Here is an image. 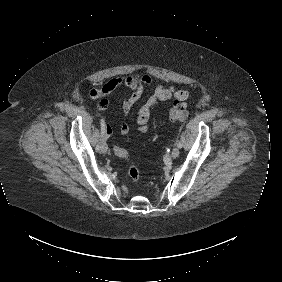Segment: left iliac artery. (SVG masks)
<instances>
[{
	"instance_id": "44dca946",
	"label": "left iliac artery",
	"mask_w": 282,
	"mask_h": 282,
	"mask_svg": "<svg viewBox=\"0 0 282 282\" xmlns=\"http://www.w3.org/2000/svg\"><path fill=\"white\" fill-rule=\"evenodd\" d=\"M177 147H178V148H182V144H181L180 141H177Z\"/></svg>"
}]
</instances>
